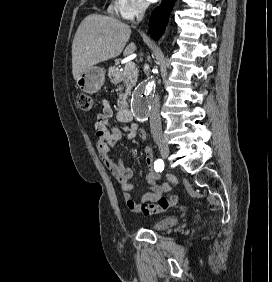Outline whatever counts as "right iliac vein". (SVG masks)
I'll use <instances>...</instances> for the list:
<instances>
[{"mask_svg":"<svg viewBox=\"0 0 272 282\" xmlns=\"http://www.w3.org/2000/svg\"><path fill=\"white\" fill-rule=\"evenodd\" d=\"M157 146L160 151L161 156L166 159L170 155V149L168 147V144L164 140L157 141Z\"/></svg>","mask_w":272,"mask_h":282,"instance_id":"1","label":"right iliac vein"}]
</instances>
